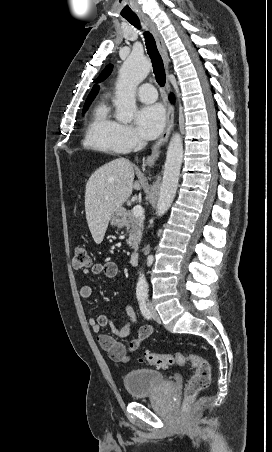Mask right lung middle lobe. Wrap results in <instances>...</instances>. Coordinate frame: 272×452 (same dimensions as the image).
<instances>
[{"instance_id":"dd1d6c3e","label":"right lung middle lobe","mask_w":272,"mask_h":452,"mask_svg":"<svg viewBox=\"0 0 272 452\" xmlns=\"http://www.w3.org/2000/svg\"><path fill=\"white\" fill-rule=\"evenodd\" d=\"M89 105H90V103L84 105L83 112H85L88 109Z\"/></svg>"}]
</instances>
